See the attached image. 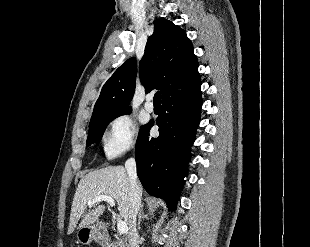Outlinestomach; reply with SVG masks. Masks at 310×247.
Masks as SVG:
<instances>
[{
    "instance_id": "obj_1",
    "label": "stomach",
    "mask_w": 310,
    "mask_h": 247,
    "mask_svg": "<svg viewBox=\"0 0 310 247\" xmlns=\"http://www.w3.org/2000/svg\"><path fill=\"white\" fill-rule=\"evenodd\" d=\"M104 226L101 223L81 226L77 231V240L82 245H88L92 241H99L102 238Z\"/></svg>"
}]
</instances>
